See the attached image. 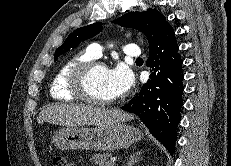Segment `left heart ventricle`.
I'll use <instances>...</instances> for the list:
<instances>
[{"instance_id":"obj_1","label":"left heart ventricle","mask_w":231,"mask_h":166,"mask_svg":"<svg viewBox=\"0 0 231 166\" xmlns=\"http://www.w3.org/2000/svg\"><path fill=\"white\" fill-rule=\"evenodd\" d=\"M89 90L97 98L112 99L114 98L108 84V70L99 67L93 71L89 78Z\"/></svg>"}]
</instances>
